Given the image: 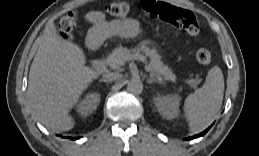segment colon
<instances>
[{
	"instance_id": "colon-1",
	"label": "colon",
	"mask_w": 259,
	"mask_h": 156,
	"mask_svg": "<svg viewBox=\"0 0 259 156\" xmlns=\"http://www.w3.org/2000/svg\"><path fill=\"white\" fill-rule=\"evenodd\" d=\"M142 4L152 18L168 22L177 28L185 30L192 36L198 35L200 30L199 23L193 12L152 0H145ZM105 11L111 16L125 17L130 13L131 7L126 2H113L106 5ZM77 23L78 14L75 11H70L65 14L58 24L60 35L64 39L72 38ZM196 60L201 65H209L211 62V54L207 49L201 48L196 53Z\"/></svg>"
}]
</instances>
